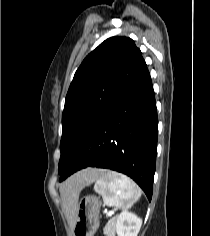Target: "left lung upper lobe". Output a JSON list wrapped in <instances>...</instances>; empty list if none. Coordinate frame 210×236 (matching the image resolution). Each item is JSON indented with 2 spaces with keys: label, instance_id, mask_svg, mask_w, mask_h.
I'll return each instance as SVG.
<instances>
[{
  "label": "left lung upper lobe",
  "instance_id": "5c2ea615",
  "mask_svg": "<svg viewBox=\"0 0 210 236\" xmlns=\"http://www.w3.org/2000/svg\"><path fill=\"white\" fill-rule=\"evenodd\" d=\"M146 68L141 51L127 37L105 40L84 59L65 99L59 174L95 119Z\"/></svg>",
  "mask_w": 210,
  "mask_h": 236
}]
</instances>
